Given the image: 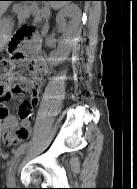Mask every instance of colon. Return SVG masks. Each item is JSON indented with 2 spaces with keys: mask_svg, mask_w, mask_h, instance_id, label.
I'll list each match as a JSON object with an SVG mask.
<instances>
[{
  "mask_svg": "<svg viewBox=\"0 0 137 189\" xmlns=\"http://www.w3.org/2000/svg\"><path fill=\"white\" fill-rule=\"evenodd\" d=\"M36 39V32L33 28L24 26L19 28L11 37L8 46L6 57L0 56V84L6 83L8 80L15 62H20L23 58L21 49L24 44L32 42ZM21 109L26 112V115L32 113V106L29 102L24 101Z\"/></svg>",
  "mask_w": 137,
  "mask_h": 189,
  "instance_id": "1",
  "label": "colon"
}]
</instances>
